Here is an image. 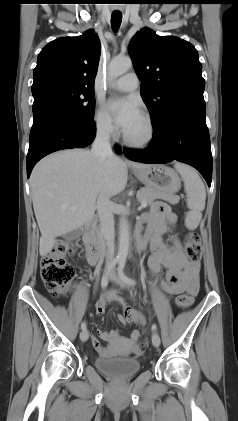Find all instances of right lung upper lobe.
Here are the masks:
<instances>
[{
  "mask_svg": "<svg viewBox=\"0 0 238 421\" xmlns=\"http://www.w3.org/2000/svg\"><path fill=\"white\" fill-rule=\"evenodd\" d=\"M100 52V41L93 30L78 37L58 38L39 53L32 86L59 82L93 90Z\"/></svg>",
  "mask_w": 238,
  "mask_h": 421,
  "instance_id": "right-lung-upper-lobe-1",
  "label": "right lung upper lobe"
}]
</instances>
